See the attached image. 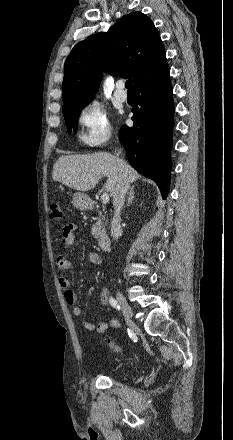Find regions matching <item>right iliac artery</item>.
<instances>
[{
    "label": "right iliac artery",
    "instance_id": "obj_1",
    "mask_svg": "<svg viewBox=\"0 0 233 440\" xmlns=\"http://www.w3.org/2000/svg\"><path fill=\"white\" fill-rule=\"evenodd\" d=\"M109 303H110L111 306L114 307L115 309L120 310V305L118 304V302H117L113 297H110V298H109Z\"/></svg>",
    "mask_w": 233,
    "mask_h": 440
}]
</instances>
